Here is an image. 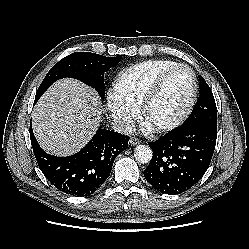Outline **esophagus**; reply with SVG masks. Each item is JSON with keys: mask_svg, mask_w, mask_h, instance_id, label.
I'll return each mask as SVG.
<instances>
[{"mask_svg": "<svg viewBox=\"0 0 249 249\" xmlns=\"http://www.w3.org/2000/svg\"><path fill=\"white\" fill-rule=\"evenodd\" d=\"M129 143L130 145L132 146H136V145H139L140 144V140L135 138V137H131L130 140H129Z\"/></svg>", "mask_w": 249, "mask_h": 249, "instance_id": "34e87169", "label": "esophagus"}]
</instances>
